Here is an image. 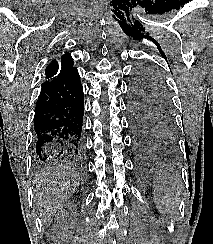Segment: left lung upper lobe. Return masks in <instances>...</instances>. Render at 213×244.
Instances as JSON below:
<instances>
[{
  "instance_id": "1",
  "label": "left lung upper lobe",
  "mask_w": 213,
  "mask_h": 244,
  "mask_svg": "<svg viewBox=\"0 0 213 244\" xmlns=\"http://www.w3.org/2000/svg\"><path fill=\"white\" fill-rule=\"evenodd\" d=\"M165 83L157 69L148 65L136 68L130 84L129 110L150 122L158 136L167 141L174 137L176 123Z\"/></svg>"
}]
</instances>
